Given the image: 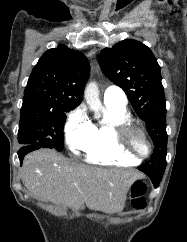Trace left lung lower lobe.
Instances as JSON below:
<instances>
[{"instance_id":"0a47b994","label":"left lung lower lobe","mask_w":187,"mask_h":242,"mask_svg":"<svg viewBox=\"0 0 187 242\" xmlns=\"http://www.w3.org/2000/svg\"><path fill=\"white\" fill-rule=\"evenodd\" d=\"M144 173L149 176V178L151 179L152 183L154 184V187L157 188L158 185H159V182L162 179L163 174H152V173H148V172H144Z\"/></svg>"}]
</instances>
